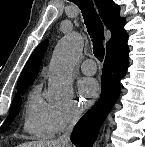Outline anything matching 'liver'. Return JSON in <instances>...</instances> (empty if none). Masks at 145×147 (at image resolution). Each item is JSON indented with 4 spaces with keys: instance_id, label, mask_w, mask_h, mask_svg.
Listing matches in <instances>:
<instances>
[{
    "instance_id": "1",
    "label": "liver",
    "mask_w": 145,
    "mask_h": 147,
    "mask_svg": "<svg viewBox=\"0 0 145 147\" xmlns=\"http://www.w3.org/2000/svg\"><path fill=\"white\" fill-rule=\"evenodd\" d=\"M18 147H63L56 140L50 141H32L18 145Z\"/></svg>"
}]
</instances>
